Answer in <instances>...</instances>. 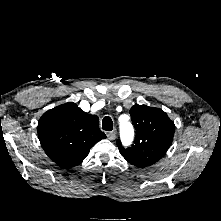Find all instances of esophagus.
Listing matches in <instances>:
<instances>
[{"instance_id":"34e87169","label":"esophagus","mask_w":221,"mask_h":221,"mask_svg":"<svg viewBox=\"0 0 221 221\" xmlns=\"http://www.w3.org/2000/svg\"><path fill=\"white\" fill-rule=\"evenodd\" d=\"M116 135H117L116 131H110V132L107 133V137L111 141L116 139Z\"/></svg>"}]
</instances>
